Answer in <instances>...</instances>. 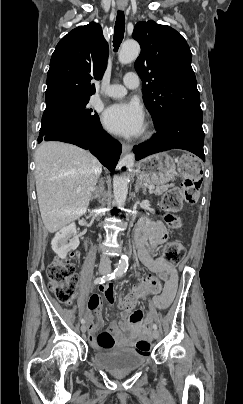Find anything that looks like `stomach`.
I'll return each mask as SVG.
<instances>
[{
    "label": "stomach",
    "instance_id": "obj_1",
    "mask_svg": "<svg viewBox=\"0 0 243 404\" xmlns=\"http://www.w3.org/2000/svg\"><path fill=\"white\" fill-rule=\"evenodd\" d=\"M136 175L145 183L166 184L177 175L175 161L167 153L153 154L137 164Z\"/></svg>",
    "mask_w": 243,
    "mask_h": 404
}]
</instances>
